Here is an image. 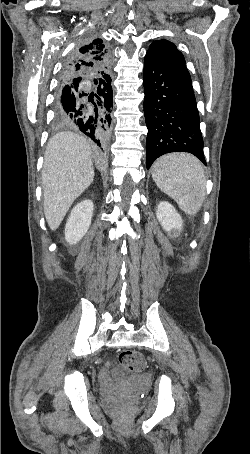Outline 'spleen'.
I'll return each mask as SVG.
<instances>
[{
  "mask_svg": "<svg viewBox=\"0 0 250 454\" xmlns=\"http://www.w3.org/2000/svg\"><path fill=\"white\" fill-rule=\"evenodd\" d=\"M152 178L161 191L177 202L181 210L189 215L200 210L206 178L197 158L186 153L164 155L154 163Z\"/></svg>",
  "mask_w": 250,
  "mask_h": 454,
  "instance_id": "spleen-1",
  "label": "spleen"
}]
</instances>
